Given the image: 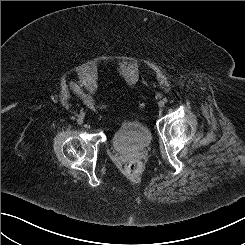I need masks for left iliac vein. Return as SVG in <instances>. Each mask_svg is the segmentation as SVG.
I'll return each mask as SVG.
<instances>
[{
	"label": "left iliac vein",
	"mask_w": 245,
	"mask_h": 245,
	"mask_svg": "<svg viewBox=\"0 0 245 245\" xmlns=\"http://www.w3.org/2000/svg\"><path fill=\"white\" fill-rule=\"evenodd\" d=\"M158 105H159V107H164L165 104L163 101H159Z\"/></svg>",
	"instance_id": "1"
}]
</instances>
